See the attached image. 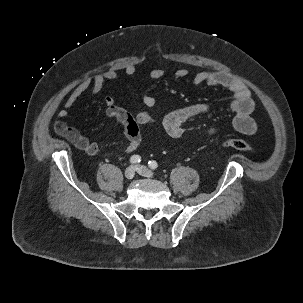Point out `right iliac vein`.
<instances>
[{
	"label": "right iliac vein",
	"mask_w": 303,
	"mask_h": 303,
	"mask_svg": "<svg viewBox=\"0 0 303 303\" xmlns=\"http://www.w3.org/2000/svg\"><path fill=\"white\" fill-rule=\"evenodd\" d=\"M134 175H135V168L133 166L127 167L125 172H124V176L127 179H133Z\"/></svg>",
	"instance_id": "1"
}]
</instances>
